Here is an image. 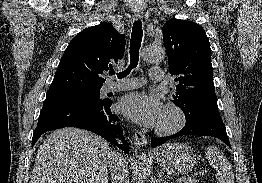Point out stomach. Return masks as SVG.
<instances>
[{"label":"stomach","mask_w":262,"mask_h":183,"mask_svg":"<svg viewBox=\"0 0 262 183\" xmlns=\"http://www.w3.org/2000/svg\"><path fill=\"white\" fill-rule=\"evenodd\" d=\"M157 162L167 171L177 174L189 172L196 163L193 149L185 143H167L155 151Z\"/></svg>","instance_id":"stomach-1"}]
</instances>
